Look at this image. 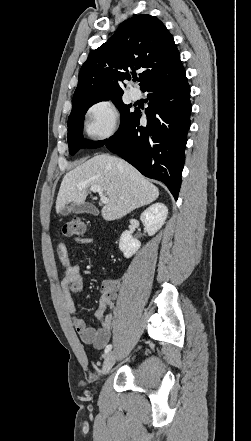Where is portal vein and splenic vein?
<instances>
[{
    "instance_id": "portal-vein-and-splenic-vein-1",
    "label": "portal vein and splenic vein",
    "mask_w": 251,
    "mask_h": 441,
    "mask_svg": "<svg viewBox=\"0 0 251 441\" xmlns=\"http://www.w3.org/2000/svg\"><path fill=\"white\" fill-rule=\"evenodd\" d=\"M90 190L94 193H99L100 195V201L103 204H107L109 203V199L107 198V196L103 193L102 188L99 185H93L90 187Z\"/></svg>"
}]
</instances>
